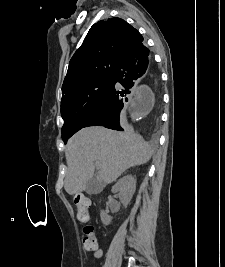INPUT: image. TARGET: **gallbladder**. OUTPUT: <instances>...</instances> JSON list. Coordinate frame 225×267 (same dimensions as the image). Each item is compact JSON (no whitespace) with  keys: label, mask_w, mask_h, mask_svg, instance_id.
<instances>
[{"label":"gallbladder","mask_w":225,"mask_h":267,"mask_svg":"<svg viewBox=\"0 0 225 267\" xmlns=\"http://www.w3.org/2000/svg\"><path fill=\"white\" fill-rule=\"evenodd\" d=\"M100 188H101V185L98 184L94 179H91L87 183L86 190L91 192V193H97V192H99Z\"/></svg>","instance_id":"1"}]
</instances>
